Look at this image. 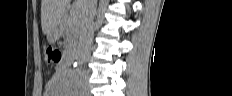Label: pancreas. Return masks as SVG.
Segmentation results:
<instances>
[{
  "label": "pancreas",
  "instance_id": "pancreas-1",
  "mask_svg": "<svg viewBox=\"0 0 232 96\" xmlns=\"http://www.w3.org/2000/svg\"><path fill=\"white\" fill-rule=\"evenodd\" d=\"M62 37L64 38L65 52L73 51L79 36L78 18L66 15L60 25Z\"/></svg>",
  "mask_w": 232,
  "mask_h": 96
}]
</instances>
